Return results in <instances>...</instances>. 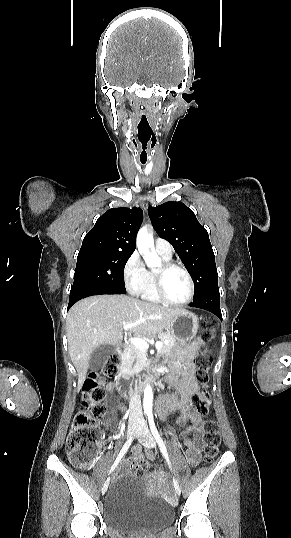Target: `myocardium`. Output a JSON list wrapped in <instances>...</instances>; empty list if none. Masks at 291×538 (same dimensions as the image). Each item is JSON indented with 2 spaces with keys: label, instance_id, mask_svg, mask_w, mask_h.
Listing matches in <instances>:
<instances>
[{
  "label": "myocardium",
  "instance_id": "myocardium-1",
  "mask_svg": "<svg viewBox=\"0 0 291 538\" xmlns=\"http://www.w3.org/2000/svg\"><path fill=\"white\" fill-rule=\"evenodd\" d=\"M172 270L182 271L185 274L189 283V293L187 297L182 301H173L169 299L165 293L164 276L166 275V273ZM154 285L156 293L160 300L172 306H184L188 304L193 299L195 292V285L190 272L184 266L173 262H164L157 270L154 271Z\"/></svg>",
  "mask_w": 291,
  "mask_h": 538
}]
</instances>
